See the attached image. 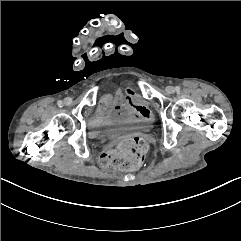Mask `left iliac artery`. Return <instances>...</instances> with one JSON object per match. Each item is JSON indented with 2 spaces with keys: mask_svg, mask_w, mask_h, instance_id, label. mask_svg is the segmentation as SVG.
<instances>
[{
  "mask_svg": "<svg viewBox=\"0 0 241 241\" xmlns=\"http://www.w3.org/2000/svg\"><path fill=\"white\" fill-rule=\"evenodd\" d=\"M180 89H181L180 86H176V87H175V90H176L177 92H179Z\"/></svg>",
  "mask_w": 241,
  "mask_h": 241,
  "instance_id": "44dca946",
  "label": "left iliac artery"
}]
</instances>
